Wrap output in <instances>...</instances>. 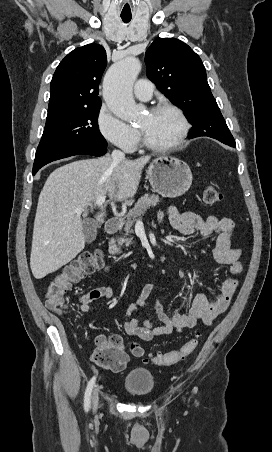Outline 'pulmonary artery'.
<instances>
[{
    "mask_svg": "<svg viewBox=\"0 0 272 452\" xmlns=\"http://www.w3.org/2000/svg\"><path fill=\"white\" fill-rule=\"evenodd\" d=\"M153 90L154 86L150 81L140 79L134 86V95L138 100L148 101L152 97Z\"/></svg>",
    "mask_w": 272,
    "mask_h": 452,
    "instance_id": "pulmonary-artery-1",
    "label": "pulmonary artery"
}]
</instances>
